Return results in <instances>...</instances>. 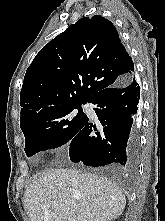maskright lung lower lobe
<instances>
[{
	"label": "right lung lower lobe",
	"instance_id": "obj_1",
	"mask_svg": "<svg viewBox=\"0 0 165 221\" xmlns=\"http://www.w3.org/2000/svg\"><path fill=\"white\" fill-rule=\"evenodd\" d=\"M140 87L135 76L92 96L99 123L86 124L71 139L72 162L99 167L110 164L137 167L140 147L137 128Z\"/></svg>",
	"mask_w": 165,
	"mask_h": 221
}]
</instances>
